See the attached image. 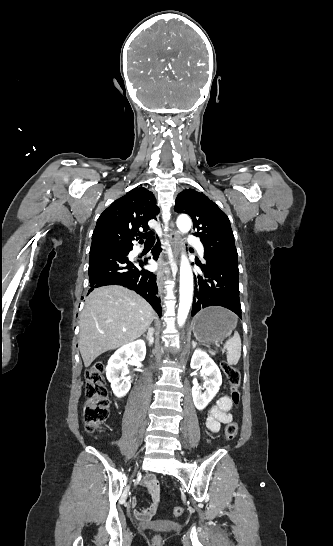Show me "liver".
<instances>
[{
  "mask_svg": "<svg viewBox=\"0 0 333 546\" xmlns=\"http://www.w3.org/2000/svg\"><path fill=\"white\" fill-rule=\"evenodd\" d=\"M155 315L145 299L125 287L93 290L80 316L79 349L85 367L102 353L141 337Z\"/></svg>",
  "mask_w": 333,
  "mask_h": 546,
  "instance_id": "liver-1",
  "label": "liver"
}]
</instances>
